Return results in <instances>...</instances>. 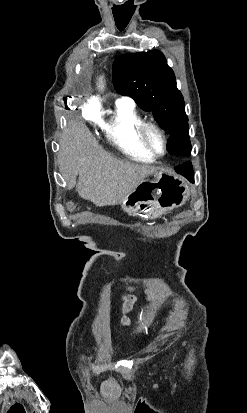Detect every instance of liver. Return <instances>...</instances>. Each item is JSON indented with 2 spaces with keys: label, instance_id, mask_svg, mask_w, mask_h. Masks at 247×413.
Segmentation results:
<instances>
[{
  "label": "liver",
  "instance_id": "6515ba94",
  "mask_svg": "<svg viewBox=\"0 0 247 413\" xmlns=\"http://www.w3.org/2000/svg\"><path fill=\"white\" fill-rule=\"evenodd\" d=\"M59 168L68 190L76 184L79 196L91 200L97 207L119 204L122 198L158 166L138 164L116 158L105 150L85 124V120H70L62 132Z\"/></svg>",
  "mask_w": 247,
  "mask_h": 413
}]
</instances>
